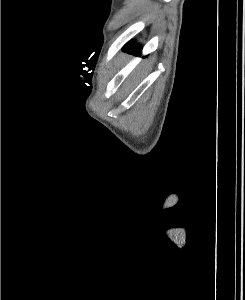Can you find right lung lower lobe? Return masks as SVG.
Masks as SVG:
<instances>
[{
	"label": "right lung lower lobe",
	"instance_id": "obj_1",
	"mask_svg": "<svg viewBox=\"0 0 245 300\" xmlns=\"http://www.w3.org/2000/svg\"><path fill=\"white\" fill-rule=\"evenodd\" d=\"M124 50L133 52V53H139L141 50V47L136 45L135 42H129L125 45Z\"/></svg>",
	"mask_w": 245,
	"mask_h": 300
}]
</instances>
